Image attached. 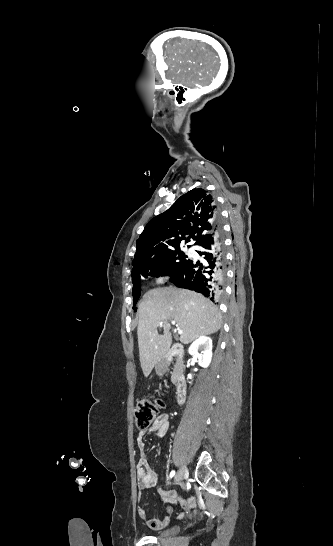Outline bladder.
Returning a JSON list of instances; mask_svg holds the SVG:
<instances>
[{
    "label": "bladder",
    "instance_id": "1",
    "mask_svg": "<svg viewBox=\"0 0 333 546\" xmlns=\"http://www.w3.org/2000/svg\"><path fill=\"white\" fill-rule=\"evenodd\" d=\"M179 531V527L177 525H173L165 530H162L160 532H157L156 535L157 536H170V535H174L176 534L177 532Z\"/></svg>",
    "mask_w": 333,
    "mask_h": 546
}]
</instances>
